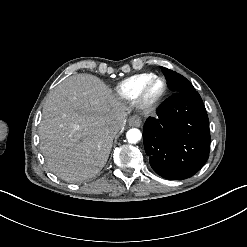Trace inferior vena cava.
<instances>
[{"mask_svg":"<svg viewBox=\"0 0 247 247\" xmlns=\"http://www.w3.org/2000/svg\"><path fill=\"white\" fill-rule=\"evenodd\" d=\"M121 130L120 126L114 125V126H109L108 131L109 133L114 137L118 134V132Z\"/></svg>","mask_w":247,"mask_h":247,"instance_id":"obj_1","label":"inferior vena cava"}]
</instances>
